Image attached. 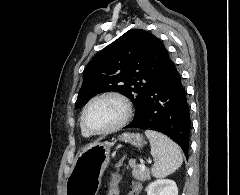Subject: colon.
I'll use <instances>...</instances> for the list:
<instances>
[{
    "label": "colon",
    "mask_w": 240,
    "mask_h": 195,
    "mask_svg": "<svg viewBox=\"0 0 240 195\" xmlns=\"http://www.w3.org/2000/svg\"><path fill=\"white\" fill-rule=\"evenodd\" d=\"M121 170H122V167L120 165H117L113 173L110 175L111 187L107 189V192L109 193V195H118L119 183L122 180V175L120 174Z\"/></svg>",
    "instance_id": "obj_1"
}]
</instances>
